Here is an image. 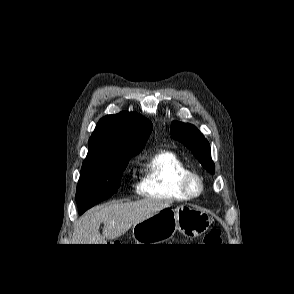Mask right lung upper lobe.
Returning <instances> with one entry per match:
<instances>
[{
  "label": "right lung upper lobe",
  "instance_id": "right-lung-upper-lobe-1",
  "mask_svg": "<svg viewBox=\"0 0 294 294\" xmlns=\"http://www.w3.org/2000/svg\"><path fill=\"white\" fill-rule=\"evenodd\" d=\"M152 124L134 112H120L99 120L89 139V154L122 152L137 154L145 146Z\"/></svg>",
  "mask_w": 294,
  "mask_h": 294
}]
</instances>
